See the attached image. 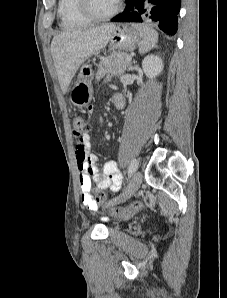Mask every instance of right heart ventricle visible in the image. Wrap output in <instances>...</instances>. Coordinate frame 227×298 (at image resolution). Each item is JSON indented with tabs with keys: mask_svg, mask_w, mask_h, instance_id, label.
I'll use <instances>...</instances> for the list:
<instances>
[{
	"mask_svg": "<svg viewBox=\"0 0 227 298\" xmlns=\"http://www.w3.org/2000/svg\"><path fill=\"white\" fill-rule=\"evenodd\" d=\"M58 15L61 26L67 30L86 27L91 23L81 13L79 0H59Z\"/></svg>",
	"mask_w": 227,
	"mask_h": 298,
	"instance_id": "e07e8e85",
	"label": "right heart ventricle"
}]
</instances>
